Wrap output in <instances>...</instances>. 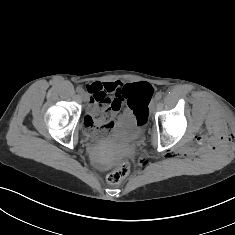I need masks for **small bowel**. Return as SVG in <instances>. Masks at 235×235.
Returning a JSON list of instances; mask_svg holds the SVG:
<instances>
[{
	"instance_id": "1",
	"label": "small bowel",
	"mask_w": 235,
	"mask_h": 235,
	"mask_svg": "<svg viewBox=\"0 0 235 235\" xmlns=\"http://www.w3.org/2000/svg\"><path fill=\"white\" fill-rule=\"evenodd\" d=\"M130 85L132 84H124L116 81L93 82L87 86L88 92L91 94L87 117L96 115L102 110H109L111 114V121L99 131L100 133L107 134L114 128V118L121 109L124 90ZM124 116H130L129 110L125 111Z\"/></svg>"
}]
</instances>
